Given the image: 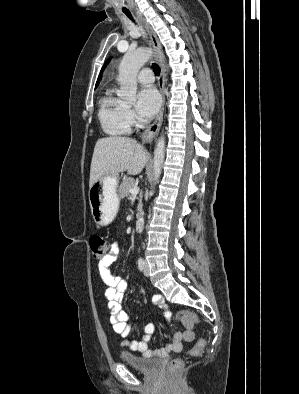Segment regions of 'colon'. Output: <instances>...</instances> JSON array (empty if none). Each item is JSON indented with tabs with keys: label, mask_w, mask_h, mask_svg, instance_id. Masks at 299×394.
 <instances>
[{
	"label": "colon",
	"mask_w": 299,
	"mask_h": 394,
	"mask_svg": "<svg viewBox=\"0 0 299 394\" xmlns=\"http://www.w3.org/2000/svg\"><path fill=\"white\" fill-rule=\"evenodd\" d=\"M89 245L93 254V257L97 260H103L109 253L110 243L109 241L101 235L93 234L89 238ZM187 315L191 318H196L194 314L187 313ZM207 342L205 339H199L189 350L188 355L191 357H198L201 352L206 347ZM185 358H176L171 361L169 365V369L171 371H176L182 367L184 364Z\"/></svg>",
	"instance_id": "5ec220e1"
}]
</instances>
